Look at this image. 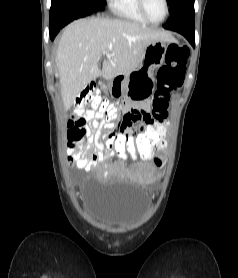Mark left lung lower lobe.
Segmentation results:
<instances>
[{
    "instance_id": "0a47b994",
    "label": "left lung lower lobe",
    "mask_w": 238,
    "mask_h": 278,
    "mask_svg": "<svg viewBox=\"0 0 238 278\" xmlns=\"http://www.w3.org/2000/svg\"><path fill=\"white\" fill-rule=\"evenodd\" d=\"M194 17V0H185L171 14L164 28L182 34L194 46Z\"/></svg>"
}]
</instances>
